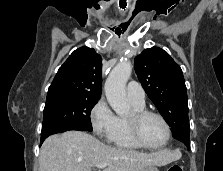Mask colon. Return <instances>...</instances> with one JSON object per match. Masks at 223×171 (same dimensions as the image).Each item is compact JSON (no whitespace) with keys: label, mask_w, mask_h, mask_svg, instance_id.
Returning a JSON list of instances; mask_svg holds the SVG:
<instances>
[{"label":"colon","mask_w":223,"mask_h":171,"mask_svg":"<svg viewBox=\"0 0 223 171\" xmlns=\"http://www.w3.org/2000/svg\"><path fill=\"white\" fill-rule=\"evenodd\" d=\"M167 171H183L182 168L178 165H172L168 168Z\"/></svg>","instance_id":"5ec220e1"}]
</instances>
